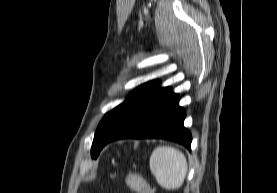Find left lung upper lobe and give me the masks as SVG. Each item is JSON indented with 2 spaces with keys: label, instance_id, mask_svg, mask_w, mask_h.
Masks as SVG:
<instances>
[{
  "label": "left lung upper lobe",
  "instance_id": "1",
  "mask_svg": "<svg viewBox=\"0 0 277 193\" xmlns=\"http://www.w3.org/2000/svg\"><path fill=\"white\" fill-rule=\"evenodd\" d=\"M160 82L158 80H154L151 82H148L144 85H141L136 90H134L127 98L126 100L118 105L116 108L108 112L101 122L99 123L97 130L95 132L92 148H91V156L92 158H97L101 147H100V141L105 134V132L108 130V128L111 126L113 121L132 103H134L136 100H138L140 97H142L144 94H146L149 91H152L155 89Z\"/></svg>",
  "mask_w": 277,
  "mask_h": 193
}]
</instances>
